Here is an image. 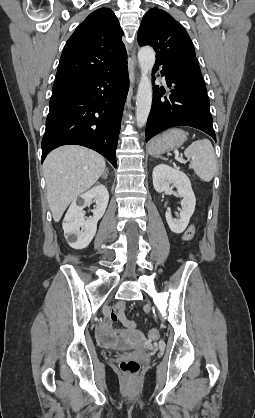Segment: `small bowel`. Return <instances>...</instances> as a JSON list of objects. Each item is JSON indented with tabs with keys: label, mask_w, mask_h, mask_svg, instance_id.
<instances>
[{
	"label": "small bowel",
	"mask_w": 255,
	"mask_h": 418,
	"mask_svg": "<svg viewBox=\"0 0 255 418\" xmlns=\"http://www.w3.org/2000/svg\"><path fill=\"white\" fill-rule=\"evenodd\" d=\"M197 235V230L195 228H189L187 230V235L185 236V239L187 241H190L192 237H195ZM119 320L127 327V330L125 331H115L111 328L110 323L108 322L106 325H104L100 331V338L103 341L104 344L108 346H116L121 336H127L132 338H139V333L134 328V323L130 320H128L123 312V305L118 304L114 308V312L111 314L109 321H116Z\"/></svg>",
	"instance_id": "small-bowel-1"
}]
</instances>
